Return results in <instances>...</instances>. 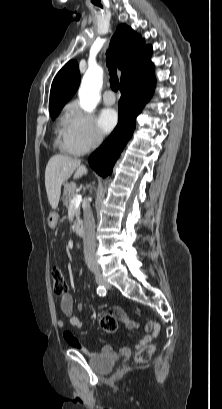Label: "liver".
I'll list each match as a JSON object with an SVG mask.
<instances>
[{"instance_id": "liver-1", "label": "liver", "mask_w": 222, "mask_h": 409, "mask_svg": "<svg viewBox=\"0 0 222 409\" xmlns=\"http://www.w3.org/2000/svg\"><path fill=\"white\" fill-rule=\"evenodd\" d=\"M74 179H79L87 173V169L77 158L64 155L52 156L45 170V188L52 209H56L60 200L61 186L74 173Z\"/></svg>"}]
</instances>
